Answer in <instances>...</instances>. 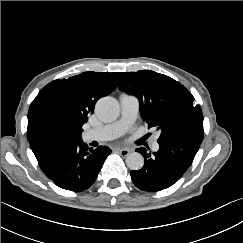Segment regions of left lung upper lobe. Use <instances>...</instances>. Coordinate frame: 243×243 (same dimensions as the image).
Wrapping results in <instances>:
<instances>
[{
	"label": "left lung upper lobe",
	"instance_id": "1",
	"mask_svg": "<svg viewBox=\"0 0 243 243\" xmlns=\"http://www.w3.org/2000/svg\"><path fill=\"white\" fill-rule=\"evenodd\" d=\"M119 90L136 96L148 128L160 131L158 143L187 130L203 131V114L192 94L169 76L151 70L122 73Z\"/></svg>",
	"mask_w": 243,
	"mask_h": 243
}]
</instances>
